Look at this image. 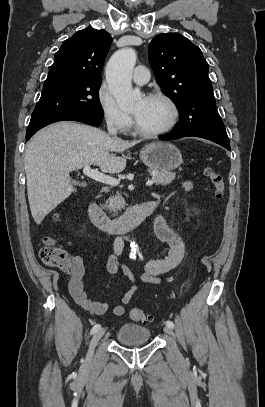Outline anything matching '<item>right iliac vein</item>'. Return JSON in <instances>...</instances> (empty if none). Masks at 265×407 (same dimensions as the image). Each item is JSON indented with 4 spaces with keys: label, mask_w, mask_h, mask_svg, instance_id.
Returning <instances> with one entry per match:
<instances>
[{
    "label": "right iliac vein",
    "mask_w": 265,
    "mask_h": 407,
    "mask_svg": "<svg viewBox=\"0 0 265 407\" xmlns=\"http://www.w3.org/2000/svg\"><path fill=\"white\" fill-rule=\"evenodd\" d=\"M104 333H105V329H100L92 337V339L90 341V344H89L88 353H87V360L88 361L91 360V358L93 356L94 349H95L96 345L98 344L99 340L104 335Z\"/></svg>",
    "instance_id": "1"
}]
</instances>
